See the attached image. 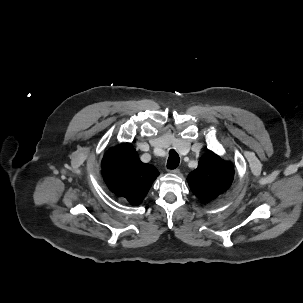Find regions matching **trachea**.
<instances>
[{
    "label": "trachea",
    "instance_id": "3493384b",
    "mask_svg": "<svg viewBox=\"0 0 303 303\" xmlns=\"http://www.w3.org/2000/svg\"><path fill=\"white\" fill-rule=\"evenodd\" d=\"M179 162H180V158H179V155L177 154V152L173 149L170 150L169 158L167 161V168L171 169V170L175 169L179 165Z\"/></svg>",
    "mask_w": 303,
    "mask_h": 303
}]
</instances>
